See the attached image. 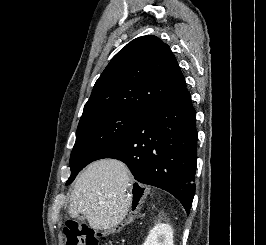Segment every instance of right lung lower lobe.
<instances>
[{
  "label": "right lung lower lobe",
  "mask_w": 266,
  "mask_h": 245,
  "mask_svg": "<svg viewBox=\"0 0 266 245\" xmlns=\"http://www.w3.org/2000/svg\"><path fill=\"white\" fill-rule=\"evenodd\" d=\"M196 146V112L185 86L148 110L95 160H121L136 180L166 190L189 214L195 194Z\"/></svg>",
  "instance_id": "obj_1"
}]
</instances>
